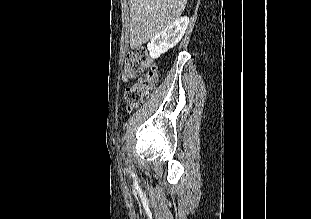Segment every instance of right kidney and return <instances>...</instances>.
<instances>
[{"label":"right kidney","mask_w":311,"mask_h":219,"mask_svg":"<svg viewBox=\"0 0 311 219\" xmlns=\"http://www.w3.org/2000/svg\"><path fill=\"white\" fill-rule=\"evenodd\" d=\"M188 23L189 18L182 17L155 35L147 45L151 58L157 59L161 54L176 46L183 37Z\"/></svg>","instance_id":"ca27d5eb"}]
</instances>
